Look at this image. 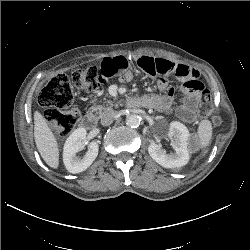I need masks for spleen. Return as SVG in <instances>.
Wrapping results in <instances>:
<instances>
[{
	"label": "spleen",
	"instance_id": "3e777b00",
	"mask_svg": "<svg viewBox=\"0 0 250 250\" xmlns=\"http://www.w3.org/2000/svg\"><path fill=\"white\" fill-rule=\"evenodd\" d=\"M197 136L200 148H205L209 145L212 138V124L209 120L204 119L200 122Z\"/></svg>",
	"mask_w": 250,
	"mask_h": 250
}]
</instances>
